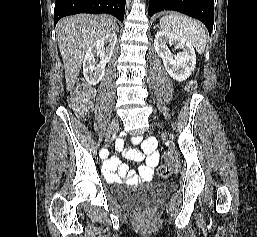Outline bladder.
I'll use <instances>...</instances> for the list:
<instances>
[{"mask_svg": "<svg viewBox=\"0 0 257 237\" xmlns=\"http://www.w3.org/2000/svg\"><path fill=\"white\" fill-rule=\"evenodd\" d=\"M164 194L162 185H156L146 190H129L121 199L131 206H149L156 204Z\"/></svg>", "mask_w": 257, "mask_h": 237, "instance_id": "bladder-1", "label": "bladder"}]
</instances>
